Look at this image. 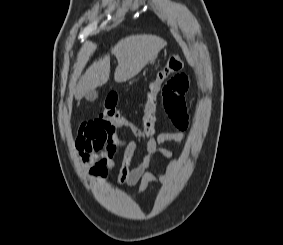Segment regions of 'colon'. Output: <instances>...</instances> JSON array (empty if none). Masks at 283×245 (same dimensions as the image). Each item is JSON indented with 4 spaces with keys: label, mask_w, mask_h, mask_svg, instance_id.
<instances>
[{
    "label": "colon",
    "mask_w": 283,
    "mask_h": 245,
    "mask_svg": "<svg viewBox=\"0 0 283 245\" xmlns=\"http://www.w3.org/2000/svg\"><path fill=\"white\" fill-rule=\"evenodd\" d=\"M183 68V59L180 56H172L164 68L160 70L156 77L149 83L146 93V102L144 104V115L140 127L131 123L116 108L117 95L114 93L106 97L98 118L117 129L129 130L136 136H152L155 132L157 109L160 103V94L163 84L171 75L179 73Z\"/></svg>",
    "instance_id": "colon-1"
}]
</instances>
